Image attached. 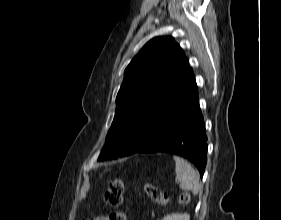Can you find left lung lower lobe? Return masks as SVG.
<instances>
[{
    "mask_svg": "<svg viewBox=\"0 0 281 220\" xmlns=\"http://www.w3.org/2000/svg\"><path fill=\"white\" fill-rule=\"evenodd\" d=\"M206 130L195 77L165 113L154 137L138 153L167 152L191 161L201 177L207 163Z\"/></svg>",
    "mask_w": 281,
    "mask_h": 220,
    "instance_id": "0a47b994",
    "label": "left lung lower lobe"
}]
</instances>
